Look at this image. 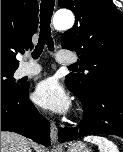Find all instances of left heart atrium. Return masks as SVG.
I'll return each instance as SVG.
<instances>
[{
	"label": "left heart atrium",
	"mask_w": 123,
	"mask_h": 152,
	"mask_svg": "<svg viewBox=\"0 0 123 152\" xmlns=\"http://www.w3.org/2000/svg\"><path fill=\"white\" fill-rule=\"evenodd\" d=\"M33 97L39 106L55 113H64L70 107L67 93L54 78L40 81L35 87Z\"/></svg>",
	"instance_id": "39dd6f15"
}]
</instances>
